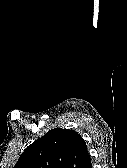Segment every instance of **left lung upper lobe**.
I'll return each instance as SVG.
<instances>
[{"instance_id": "obj_1", "label": "left lung upper lobe", "mask_w": 127, "mask_h": 168, "mask_svg": "<svg viewBox=\"0 0 127 168\" xmlns=\"http://www.w3.org/2000/svg\"><path fill=\"white\" fill-rule=\"evenodd\" d=\"M87 153L80 134L55 128L28 146L14 168H81Z\"/></svg>"}]
</instances>
